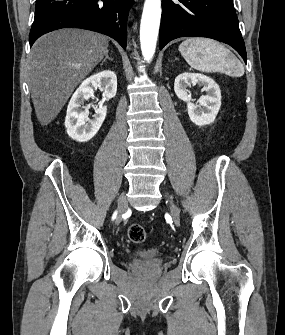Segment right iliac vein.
Masks as SVG:
<instances>
[{
  "mask_svg": "<svg viewBox=\"0 0 285 335\" xmlns=\"http://www.w3.org/2000/svg\"><path fill=\"white\" fill-rule=\"evenodd\" d=\"M126 209H127L126 194L123 192L118 197V210H119L120 215L123 214L126 211ZM117 222L118 223L121 222V217L120 216L117 217Z\"/></svg>",
  "mask_w": 285,
  "mask_h": 335,
  "instance_id": "obj_1",
  "label": "right iliac vein"
}]
</instances>
